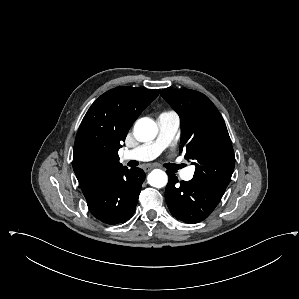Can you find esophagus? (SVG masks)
I'll return each instance as SVG.
<instances>
[{
    "label": "esophagus",
    "instance_id": "obj_1",
    "mask_svg": "<svg viewBox=\"0 0 299 299\" xmlns=\"http://www.w3.org/2000/svg\"><path fill=\"white\" fill-rule=\"evenodd\" d=\"M154 168V166H151V165H145L143 166V170L145 172H149L150 170H152Z\"/></svg>",
    "mask_w": 299,
    "mask_h": 299
}]
</instances>
